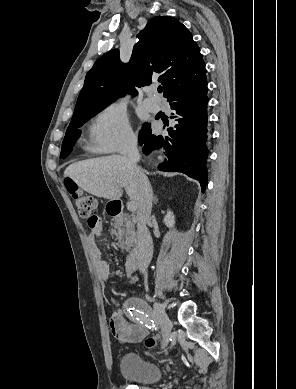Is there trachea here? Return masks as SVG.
<instances>
[{"mask_svg": "<svg viewBox=\"0 0 296 389\" xmlns=\"http://www.w3.org/2000/svg\"><path fill=\"white\" fill-rule=\"evenodd\" d=\"M162 87H158V92L161 93L162 92Z\"/></svg>", "mask_w": 296, "mask_h": 389, "instance_id": "3493384b", "label": "trachea"}]
</instances>
